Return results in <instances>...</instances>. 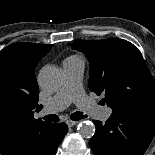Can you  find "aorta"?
<instances>
[{
  "instance_id": "aorta-1",
  "label": "aorta",
  "mask_w": 155,
  "mask_h": 155,
  "mask_svg": "<svg viewBox=\"0 0 155 155\" xmlns=\"http://www.w3.org/2000/svg\"><path fill=\"white\" fill-rule=\"evenodd\" d=\"M62 71L55 65L44 66L39 74L38 81L42 88L48 91H56L62 85ZM77 130L83 138L90 139L95 133V126L91 121H82L78 124Z\"/></svg>"
}]
</instances>
